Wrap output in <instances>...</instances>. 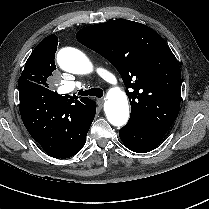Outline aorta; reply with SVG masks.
Instances as JSON below:
<instances>
[{"mask_svg":"<svg viewBox=\"0 0 209 209\" xmlns=\"http://www.w3.org/2000/svg\"><path fill=\"white\" fill-rule=\"evenodd\" d=\"M59 66L73 74H87L92 70V63L80 50L66 47L57 55ZM104 110L108 121L117 127L125 125L129 119L128 98L119 88L111 89L107 95Z\"/></svg>","mask_w":209,"mask_h":209,"instance_id":"obj_1","label":"aorta"}]
</instances>
